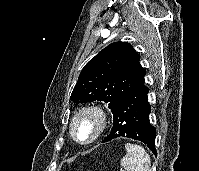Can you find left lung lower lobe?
<instances>
[{"label":"left lung lower lobe","instance_id":"1","mask_svg":"<svg viewBox=\"0 0 199 171\" xmlns=\"http://www.w3.org/2000/svg\"><path fill=\"white\" fill-rule=\"evenodd\" d=\"M147 94L148 88L144 85L143 79L113 112L112 130L102 142H108L117 137H128L144 142L157 155L156 130L149 121L151 108Z\"/></svg>","mask_w":199,"mask_h":171}]
</instances>
